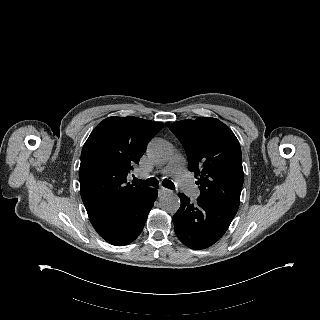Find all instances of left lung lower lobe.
I'll return each instance as SVG.
<instances>
[{
	"label": "left lung lower lobe",
	"mask_w": 320,
	"mask_h": 320,
	"mask_svg": "<svg viewBox=\"0 0 320 320\" xmlns=\"http://www.w3.org/2000/svg\"><path fill=\"white\" fill-rule=\"evenodd\" d=\"M181 206L173 216L174 229L179 240L195 250L204 249L217 242L228 229L235 213L220 205L197 198L195 203L182 193Z\"/></svg>",
	"instance_id": "left-lung-lower-lobe-1"
}]
</instances>
